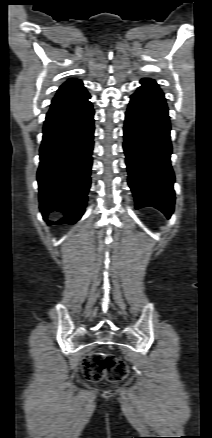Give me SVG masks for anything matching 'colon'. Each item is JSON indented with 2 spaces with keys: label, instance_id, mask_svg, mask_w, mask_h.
<instances>
[{
  "label": "colon",
  "instance_id": "1",
  "mask_svg": "<svg viewBox=\"0 0 212 438\" xmlns=\"http://www.w3.org/2000/svg\"><path fill=\"white\" fill-rule=\"evenodd\" d=\"M128 372L124 360L106 353L92 352L83 363L84 376L95 382L106 379L112 383H119L127 377Z\"/></svg>",
  "mask_w": 212,
  "mask_h": 438
}]
</instances>
